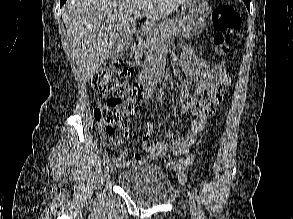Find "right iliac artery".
I'll list each match as a JSON object with an SVG mask.
<instances>
[{"label":"right iliac artery","instance_id":"82829eb1","mask_svg":"<svg viewBox=\"0 0 293 219\" xmlns=\"http://www.w3.org/2000/svg\"><path fill=\"white\" fill-rule=\"evenodd\" d=\"M109 162H110L109 156L106 155V156L104 157V160H103V165H104V166H107V165L109 164Z\"/></svg>","mask_w":293,"mask_h":219}]
</instances>
